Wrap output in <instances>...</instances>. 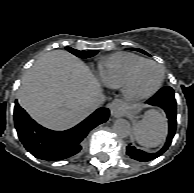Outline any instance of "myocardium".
<instances>
[{
  "instance_id": "myocardium-1",
  "label": "myocardium",
  "mask_w": 194,
  "mask_h": 193,
  "mask_svg": "<svg viewBox=\"0 0 194 193\" xmlns=\"http://www.w3.org/2000/svg\"><path fill=\"white\" fill-rule=\"evenodd\" d=\"M145 64H151L153 66L158 67L160 69V78H159L158 83L152 90L148 92H137L134 90L136 76H137L139 69ZM164 78H165V70H164V67L160 63L154 60L144 59L143 61L136 64L130 71L126 81L124 82L121 88L123 96L129 101H141V100L148 99L160 90L164 82Z\"/></svg>"
}]
</instances>
